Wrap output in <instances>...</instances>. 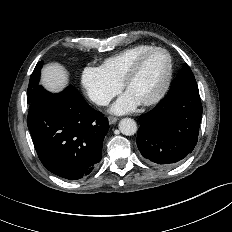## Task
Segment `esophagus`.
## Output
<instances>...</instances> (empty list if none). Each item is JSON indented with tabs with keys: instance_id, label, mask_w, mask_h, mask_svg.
Wrapping results in <instances>:
<instances>
[{
	"instance_id": "34e87169",
	"label": "esophagus",
	"mask_w": 232,
	"mask_h": 232,
	"mask_svg": "<svg viewBox=\"0 0 232 232\" xmlns=\"http://www.w3.org/2000/svg\"><path fill=\"white\" fill-rule=\"evenodd\" d=\"M109 124H115L118 121L117 117L110 116L108 117Z\"/></svg>"
}]
</instances>
